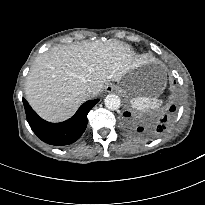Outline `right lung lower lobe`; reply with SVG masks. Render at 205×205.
Wrapping results in <instances>:
<instances>
[{
    "mask_svg": "<svg viewBox=\"0 0 205 205\" xmlns=\"http://www.w3.org/2000/svg\"><path fill=\"white\" fill-rule=\"evenodd\" d=\"M98 102V99L85 102L65 122L49 123L41 119L23 99L27 121L33 132L45 143L56 146L68 145L80 138L87 126V114Z\"/></svg>",
    "mask_w": 205,
    "mask_h": 205,
    "instance_id": "obj_1",
    "label": "right lung lower lobe"
}]
</instances>
